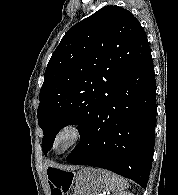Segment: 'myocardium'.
Here are the masks:
<instances>
[{"instance_id": "1", "label": "myocardium", "mask_w": 178, "mask_h": 195, "mask_svg": "<svg viewBox=\"0 0 178 195\" xmlns=\"http://www.w3.org/2000/svg\"><path fill=\"white\" fill-rule=\"evenodd\" d=\"M62 136H68L69 137V143L68 145L62 149V150H58L57 149V144L59 139ZM83 137V131L82 129L75 124H67L62 126L54 135L53 140H52V149L57 152V153H66L68 151H70L71 149H73L75 146H77L79 144V142L81 141Z\"/></svg>"}]
</instances>
